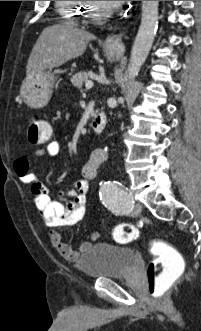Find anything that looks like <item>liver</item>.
<instances>
[{"label":"liver","mask_w":201,"mask_h":331,"mask_svg":"<svg viewBox=\"0 0 201 331\" xmlns=\"http://www.w3.org/2000/svg\"><path fill=\"white\" fill-rule=\"evenodd\" d=\"M96 37L73 23L46 27L36 41L26 67V78L59 67L83 55L87 44Z\"/></svg>","instance_id":"obj_1"}]
</instances>
